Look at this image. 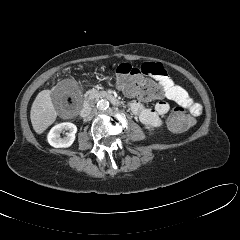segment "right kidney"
Returning a JSON list of instances; mask_svg holds the SVG:
<instances>
[{
    "instance_id": "right-kidney-1",
    "label": "right kidney",
    "mask_w": 240,
    "mask_h": 240,
    "mask_svg": "<svg viewBox=\"0 0 240 240\" xmlns=\"http://www.w3.org/2000/svg\"><path fill=\"white\" fill-rule=\"evenodd\" d=\"M68 131L64 138L60 137V134L64 131ZM77 127L75 124L70 122H64L55 125L48 133L47 140L49 144L55 148H66L70 147L75 140V133Z\"/></svg>"
}]
</instances>
